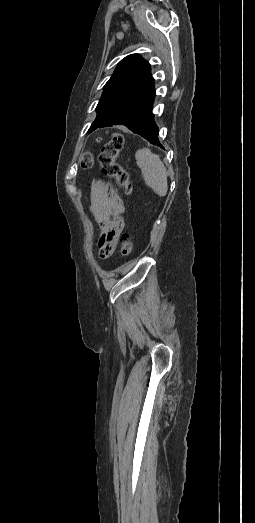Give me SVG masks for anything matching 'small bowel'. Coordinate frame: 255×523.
I'll list each match as a JSON object with an SVG mask.
<instances>
[{"mask_svg":"<svg viewBox=\"0 0 255 523\" xmlns=\"http://www.w3.org/2000/svg\"><path fill=\"white\" fill-rule=\"evenodd\" d=\"M125 207L116 192L101 181H94L90 193V212L100 227L99 255L110 257L124 228Z\"/></svg>","mask_w":255,"mask_h":523,"instance_id":"obj_1","label":"small bowel"}]
</instances>
